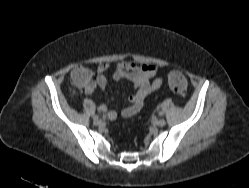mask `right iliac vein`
Segmentation results:
<instances>
[{"mask_svg": "<svg viewBox=\"0 0 249 188\" xmlns=\"http://www.w3.org/2000/svg\"><path fill=\"white\" fill-rule=\"evenodd\" d=\"M93 122H94L95 125H100L102 123L101 119H99V118L98 119H94Z\"/></svg>", "mask_w": 249, "mask_h": 188, "instance_id": "63e3f726", "label": "right iliac vein"}]
</instances>
